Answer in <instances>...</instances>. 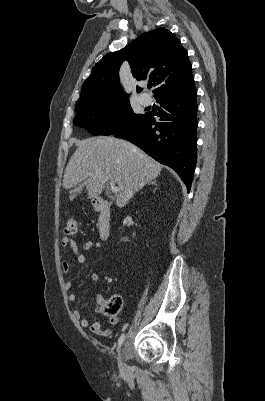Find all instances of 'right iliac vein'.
Wrapping results in <instances>:
<instances>
[{
	"label": "right iliac vein",
	"instance_id": "obj_1",
	"mask_svg": "<svg viewBox=\"0 0 265 401\" xmlns=\"http://www.w3.org/2000/svg\"><path fill=\"white\" fill-rule=\"evenodd\" d=\"M117 360H118V367L122 373L129 371V368L125 362V356L123 355L122 351H119Z\"/></svg>",
	"mask_w": 265,
	"mask_h": 401
}]
</instances>
